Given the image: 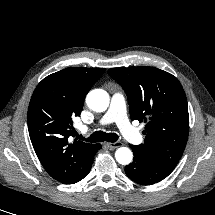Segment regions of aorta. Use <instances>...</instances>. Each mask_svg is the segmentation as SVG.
I'll return each instance as SVG.
<instances>
[{
	"instance_id": "obj_1",
	"label": "aorta",
	"mask_w": 215,
	"mask_h": 215,
	"mask_svg": "<svg viewBox=\"0 0 215 215\" xmlns=\"http://www.w3.org/2000/svg\"><path fill=\"white\" fill-rule=\"evenodd\" d=\"M86 103L90 109L96 112H103L109 105V95L102 89H95L88 93ZM115 158L119 164L128 165L133 158L129 148L121 147L115 152Z\"/></svg>"
}]
</instances>
